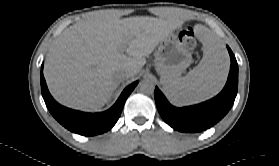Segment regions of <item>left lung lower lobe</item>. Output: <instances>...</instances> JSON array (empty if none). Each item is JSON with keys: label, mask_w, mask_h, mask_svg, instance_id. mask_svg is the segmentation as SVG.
I'll list each match as a JSON object with an SVG mask.
<instances>
[{"label": "left lung lower lobe", "mask_w": 279, "mask_h": 166, "mask_svg": "<svg viewBox=\"0 0 279 166\" xmlns=\"http://www.w3.org/2000/svg\"><path fill=\"white\" fill-rule=\"evenodd\" d=\"M231 57V67L227 83L216 97L183 108L172 106L156 87L154 97L158 112L162 119L175 130L182 132H200L212 127L220 121L232 107L238 88V65L236 58L227 46Z\"/></svg>", "instance_id": "left-lung-lower-lobe-1"}]
</instances>
